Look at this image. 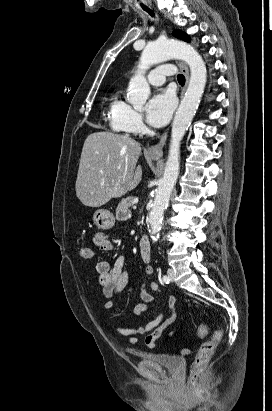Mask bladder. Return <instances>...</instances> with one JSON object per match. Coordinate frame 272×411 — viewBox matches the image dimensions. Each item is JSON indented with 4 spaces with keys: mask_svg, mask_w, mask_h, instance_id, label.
I'll use <instances>...</instances> for the list:
<instances>
[{
    "mask_svg": "<svg viewBox=\"0 0 272 411\" xmlns=\"http://www.w3.org/2000/svg\"><path fill=\"white\" fill-rule=\"evenodd\" d=\"M145 361L162 367L170 372L179 371L183 365V358L175 354L143 353L140 355Z\"/></svg>",
    "mask_w": 272,
    "mask_h": 411,
    "instance_id": "1",
    "label": "bladder"
}]
</instances>
